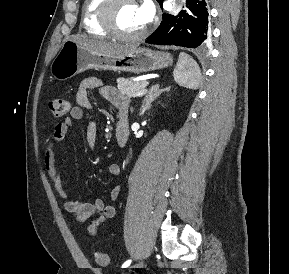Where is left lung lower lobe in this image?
I'll use <instances>...</instances> for the list:
<instances>
[{
  "label": "left lung lower lobe",
  "mask_w": 289,
  "mask_h": 274,
  "mask_svg": "<svg viewBox=\"0 0 289 274\" xmlns=\"http://www.w3.org/2000/svg\"><path fill=\"white\" fill-rule=\"evenodd\" d=\"M186 7L187 9L181 11L178 16L164 13L161 25L146 42L188 48L203 46L210 37L207 2L206 0H186ZM171 27H173L172 30H170Z\"/></svg>",
  "instance_id": "left-lung-lower-lobe-1"
}]
</instances>
